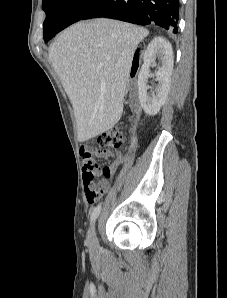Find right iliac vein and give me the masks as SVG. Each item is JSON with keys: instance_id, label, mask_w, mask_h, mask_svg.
Segmentation results:
<instances>
[{"instance_id": "63e3f726", "label": "right iliac vein", "mask_w": 227, "mask_h": 298, "mask_svg": "<svg viewBox=\"0 0 227 298\" xmlns=\"http://www.w3.org/2000/svg\"><path fill=\"white\" fill-rule=\"evenodd\" d=\"M88 242L90 244V247L92 249L96 248L97 245V239H96V233H95V226L94 224L90 227L87 235Z\"/></svg>"}]
</instances>
